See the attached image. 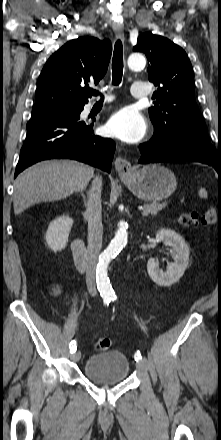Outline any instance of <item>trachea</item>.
<instances>
[{"mask_svg":"<svg viewBox=\"0 0 221 440\" xmlns=\"http://www.w3.org/2000/svg\"><path fill=\"white\" fill-rule=\"evenodd\" d=\"M123 74V47L122 42L117 40L115 43L113 58H112V84L119 85ZM93 95H99V91L90 90ZM103 97L102 94H100Z\"/></svg>","mask_w":221,"mask_h":440,"instance_id":"1","label":"trachea"}]
</instances>
